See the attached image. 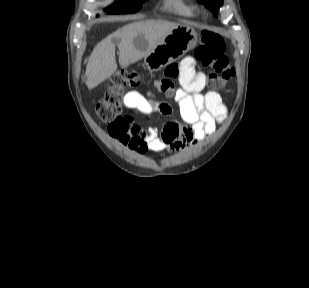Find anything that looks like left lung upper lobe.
Listing matches in <instances>:
<instances>
[{
    "label": "left lung upper lobe",
    "instance_id": "left-lung-upper-lobe-1",
    "mask_svg": "<svg viewBox=\"0 0 309 288\" xmlns=\"http://www.w3.org/2000/svg\"><path fill=\"white\" fill-rule=\"evenodd\" d=\"M199 3L205 4L216 15V12L222 5L223 0H198Z\"/></svg>",
    "mask_w": 309,
    "mask_h": 288
}]
</instances>
